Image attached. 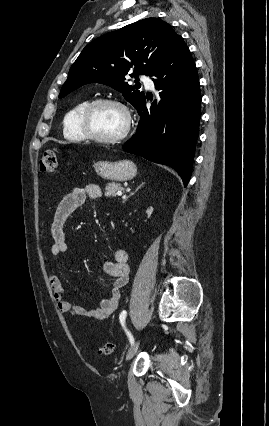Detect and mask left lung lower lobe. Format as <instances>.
Here are the masks:
<instances>
[{
    "mask_svg": "<svg viewBox=\"0 0 269 426\" xmlns=\"http://www.w3.org/2000/svg\"><path fill=\"white\" fill-rule=\"evenodd\" d=\"M160 101L136 108L140 121L123 149L174 168L186 187L191 176L201 117L197 69L188 46L178 36L152 69Z\"/></svg>",
    "mask_w": 269,
    "mask_h": 426,
    "instance_id": "left-lung-lower-lobe-1",
    "label": "left lung lower lobe"
}]
</instances>
